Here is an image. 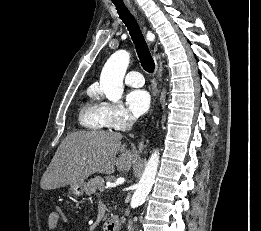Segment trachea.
<instances>
[{
	"label": "trachea",
	"instance_id": "trachea-1",
	"mask_svg": "<svg viewBox=\"0 0 261 231\" xmlns=\"http://www.w3.org/2000/svg\"><path fill=\"white\" fill-rule=\"evenodd\" d=\"M112 2L116 6L120 18L129 30L143 69L148 73H152L155 68V63L137 21L122 0H112Z\"/></svg>",
	"mask_w": 261,
	"mask_h": 231
}]
</instances>
